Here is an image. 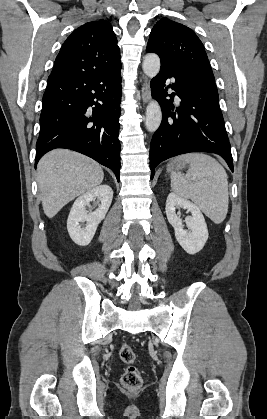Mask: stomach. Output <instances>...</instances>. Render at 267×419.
<instances>
[{"mask_svg": "<svg viewBox=\"0 0 267 419\" xmlns=\"http://www.w3.org/2000/svg\"><path fill=\"white\" fill-rule=\"evenodd\" d=\"M184 165L181 164H174L173 162L168 165L167 171L168 172H177L178 170L182 169Z\"/></svg>", "mask_w": 267, "mask_h": 419, "instance_id": "stomach-1", "label": "stomach"}]
</instances>
